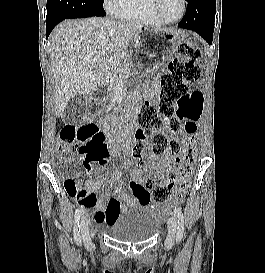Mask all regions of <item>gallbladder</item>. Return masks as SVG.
<instances>
[{"label": "gallbladder", "instance_id": "obj_1", "mask_svg": "<svg viewBox=\"0 0 265 273\" xmlns=\"http://www.w3.org/2000/svg\"><path fill=\"white\" fill-rule=\"evenodd\" d=\"M88 100L85 96H74L70 99L61 115L65 123H77L87 109Z\"/></svg>", "mask_w": 265, "mask_h": 273}]
</instances>
